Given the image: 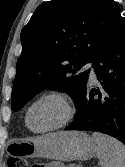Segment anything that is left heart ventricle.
Returning a JSON list of instances; mask_svg holds the SVG:
<instances>
[{
    "instance_id": "1",
    "label": "left heart ventricle",
    "mask_w": 125,
    "mask_h": 167,
    "mask_svg": "<svg viewBox=\"0 0 125 167\" xmlns=\"http://www.w3.org/2000/svg\"><path fill=\"white\" fill-rule=\"evenodd\" d=\"M63 115L61 104L54 99H47L37 104L30 113V125L41 130L57 123Z\"/></svg>"
}]
</instances>
